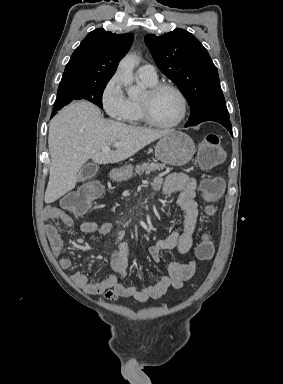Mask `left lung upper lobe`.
Masks as SVG:
<instances>
[{"instance_id":"1","label":"left lung upper lobe","mask_w":283,"mask_h":384,"mask_svg":"<svg viewBox=\"0 0 283 384\" xmlns=\"http://www.w3.org/2000/svg\"><path fill=\"white\" fill-rule=\"evenodd\" d=\"M145 42L158 68L188 100L191 115L185 127L204 121L229 120L217 68L194 35L175 29L162 36L148 34Z\"/></svg>"}]
</instances>
